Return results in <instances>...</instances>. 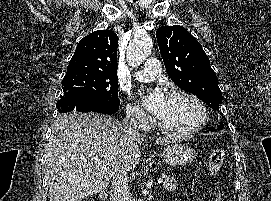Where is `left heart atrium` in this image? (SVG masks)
I'll use <instances>...</instances> for the list:
<instances>
[{"label": "left heart atrium", "instance_id": "left-heart-atrium-1", "mask_svg": "<svg viewBox=\"0 0 271 201\" xmlns=\"http://www.w3.org/2000/svg\"><path fill=\"white\" fill-rule=\"evenodd\" d=\"M141 97L144 107L149 112L156 117H159L162 114L166 98L159 89L143 92Z\"/></svg>", "mask_w": 271, "mask_h": 201}]
</instances>
